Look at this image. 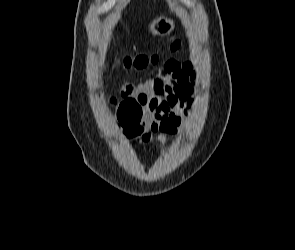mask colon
Listing matches in <instances>:
<instances>
[{"instance_id": "1", "label": "colon", "mask_w": 295, "mask_h": 250, "mask_svg": "<svg viewBox=\"0 0 295 250\" xmlns=\"http://www.w3.org/2000/svg\"><path fill=\"white\" fill-rule=\"evenodd\" d=\"M180 46L181 42L179 40H175L174 42H172L170 50L176 51L180 48ZM159 59L160 56L157 54H140L136 56H125L120 63L124 67L143 69L151 64L157 63ZM116 115L117 121L120 126L125 129H133L141 123L143 117V109L141 104L137 100L127 98L117 105Z\"/></svg>"}]
</instances>
